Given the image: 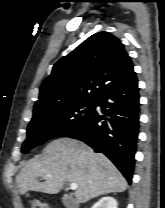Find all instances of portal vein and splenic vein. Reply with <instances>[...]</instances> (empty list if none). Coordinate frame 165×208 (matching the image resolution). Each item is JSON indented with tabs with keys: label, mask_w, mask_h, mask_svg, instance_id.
Segmentation results:
<instances>
[{
	"label": "portal vein and splenic vein",
	"mask_w": 165,
	"mask_h": 208,
	"mask_svg": "<svg viewBox=\"0 0 165 208\" xmlns=\"http://www.w3.org/2000/svg\"><path fill=\"white\" fill-rule=\"evenodd\" d=\"M47 177H50V175H47ZM78 188V185L76 183H71L70 189L71 190H76Z\"/></svg>",
	"instance_id": "obj_1"
}]
</instances>
